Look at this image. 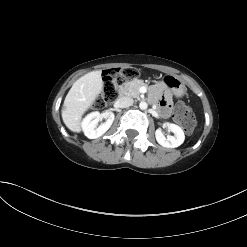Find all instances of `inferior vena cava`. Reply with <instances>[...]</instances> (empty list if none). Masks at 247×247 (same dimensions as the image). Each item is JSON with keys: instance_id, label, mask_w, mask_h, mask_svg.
Segmentation results:
<instances>
[{"instance_id": "602c4592", "label": "inferior vena cava", "mask_w": 247, "mask_h": 247, "mask_svg": "<svg viewBox=\"0 0 247 247\" xmlns=\"http://www.w3.org/2000/svg\"><path fill=\"white\" fill-rule=\"evenodd\" d=\"M133 102H134L133 98L129 96H122L117 100L116 104L120 108H126L133 105Z\"/></svg>"}]
</instances>
